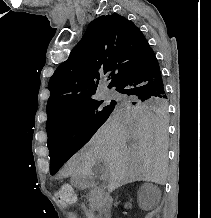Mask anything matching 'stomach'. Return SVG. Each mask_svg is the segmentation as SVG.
Returning <instances> with one entry per match:
<instances>
[{"instance_id": "1", "label": "stomach", "mask_w": 211, "mask_h": 218, "mask_svg": "<svg viewBox=\"0 0 211 218\" xmlns=\"http://www.w3.org/2000/svg\"><path fill=\"white\" fill-rule=\"evenodd\" d=\"M73 184L77 187H82L86 184V176L82 174H75L72 176Z\"/></svg>"}]
</instances>
